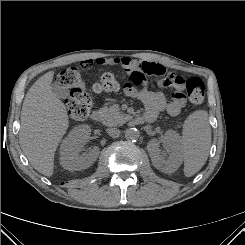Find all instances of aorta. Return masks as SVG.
<instances>
[{
  "label": "aorta",
  "instance_id": "aorta-1",
  "mask_svg": "<svg viewBox=\"0 0 245 245\" xmlns=\"http://www.w3.org/2000/svg\"><path fill=\"white\" fill-rule=\"evenodd\" d=\"M125 138L128 141H136L139 138V131L136 128H128L125 131Z\"/></svg>",
  "mask_w": 245,
  "mask_h": 245
}]
</instances>
